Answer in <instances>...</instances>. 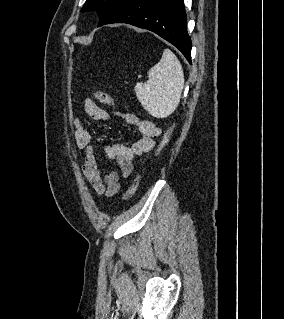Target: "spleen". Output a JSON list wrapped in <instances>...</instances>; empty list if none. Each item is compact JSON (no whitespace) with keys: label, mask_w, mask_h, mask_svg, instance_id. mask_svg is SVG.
I'll use <instances>...</instances> for the list:
<instances>
[{"label":"spleen","mask_w":284,"mask_h":319,"mask_svg":"<svg viewBox=\"0 0 284 319\" xmlns=\"http://www.w3.org/2000/svg\"><path fill=\"white\" fill-rule=\"evenodd\" d=\"M183 85L182 66L172 51L165 49L160 61L148 71L147 83L135 85V93L150 115L165 118L177 108Z\"/></svg>","instance_id":"spleen-1"}]
</instances>
